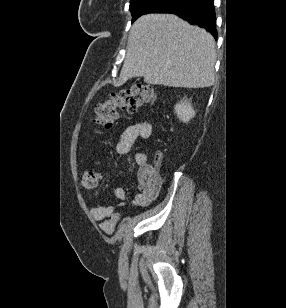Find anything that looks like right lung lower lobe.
Returning a JSON list of instances; mask_svg holds the SVG:
<instances>
[{"label":"right lung lower lobe","mask_w":286,"mask_h":308,"mask_svg":"<svg viewBox=\"0 0 286 308\" xmlns=\"http://www.w3.org/2000/svg\"><path fill=\"white\" fill-rule=\"evenodd\" d=\"M153 12L176 14L207 29L217 39L214 0H169Z\"/></svg>","instance_id":"right-lung-lower-lobe-1"}]
</instances>
